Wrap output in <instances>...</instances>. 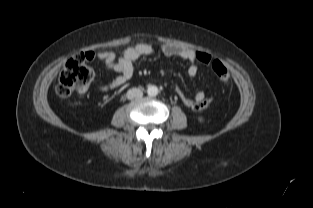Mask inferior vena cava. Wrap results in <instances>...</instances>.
I'll return each instance as SVG.
<instances>
[{
    "instance_id": "1",
    "label": "inferior vena cava",
    "mask_w": 313,
    "mask_h": 208,
    "mask_svg": "<svg viewBox=\"0 0 313 208\" xmlns=\"http://www.w3.org/2000/svg\"><path fill=\"white\" fill-rule=\"evenodd\" d=\"M143 96V92L139 88H131L127 91L126 97L130 100L139 99Z\"/></svg>"
}]
</instances>
